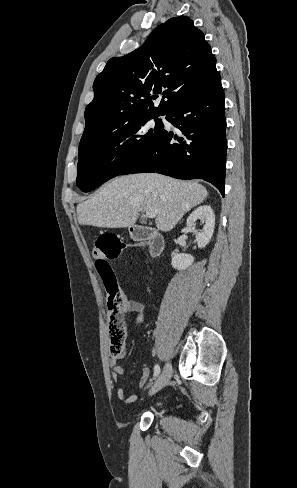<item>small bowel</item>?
<instances>
[{
    "label": "small bowel",
    "instance_id": "small-bowel-1",
    "mask_svg": "<svg viewBox=\"0 0 297 488\" xmlns=\"http://www.w3.org/2000/svg\"><path fill=\"white\" fill-rule=\"evenodd\" d=\"M128 311L135 314V320L137 324L143 323L144 320V306L141 302L136 300H128ZM124 354V353H123ZM123 354L119 357H112L111 359V378L113 383L115 384L116 394L120 401L125 404H130L135 402L138 399V395H130L127 396L124 393L123 388L119 385V377L123 374L124 369L121 365L118 364V359L123 357ZM150 376V370L148 367H144L142 369L141 377L139 379L138 386L139 388H144L148 384Z\"/></svg>",
    "mask_w": 297,
    "mask_h": 488
}]
</instances>
